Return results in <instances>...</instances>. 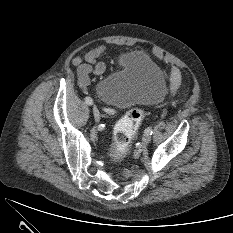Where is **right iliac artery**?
<instances>
[{"label": "right iliac artery", "instance_id": "82829eb1", "mask_svg": "<svg viewBox=\"0 0 233 233\" xmlns=\"http://www.w3.org/2000/svg\"><path fill=\"white\" fill-rule=\"evenodd\" d=\"M85 102H86V104H88V105H92V104H93V100H92V98H90V97H86V98H85ZM104 110H105V112H106L107 114H109V115H113V114H114V111L111 110V109H104Z\"/></svg>", "mask_w": 233, "mask_h": 233}]
</instances>
